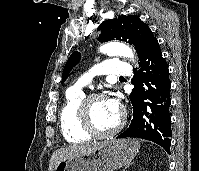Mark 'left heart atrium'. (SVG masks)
Wrapping results in <instances>:
<instances>
[{
  "label": "left heart atrium",
  "mask_w": 199,
  "mask_h": 171,
  "mask_svg": "<svg viewBox=\"0 0 199 171\" xmlns=\"http://www.w3.org/2000/svg\"><path fill=\"white\" fill-rule=\"evenodd\" d=\"M107 106L108 108L113 112V113H119L120 112V103L117 99L115 98H108L106 99Z\"/></svg>",
  "instance_id": "39dd6f15"
}]
</instances>
